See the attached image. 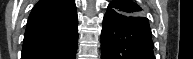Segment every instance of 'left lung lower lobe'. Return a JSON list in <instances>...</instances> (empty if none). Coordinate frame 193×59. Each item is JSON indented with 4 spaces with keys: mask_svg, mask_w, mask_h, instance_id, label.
<instances>
[{
    "mask_svg": "<svg viewBox=\"0 0 193 59\" xmlns=\"http://www.w3.org/2000/svg\"><path fill=\"white\" fill-rule=\"evenodd\" d=\"M147 19L107 11L101 32V59H155Z\"/></svg>",
    "mask_w": 193,
    "mask_h": 59,
    "instance_id": "obj_1",
    "label": "left lung lower lobe"
}]
</instances>
